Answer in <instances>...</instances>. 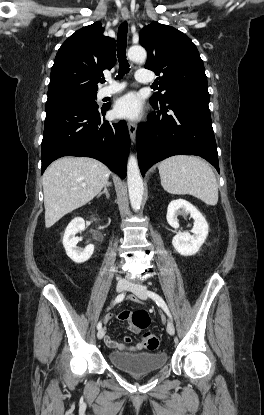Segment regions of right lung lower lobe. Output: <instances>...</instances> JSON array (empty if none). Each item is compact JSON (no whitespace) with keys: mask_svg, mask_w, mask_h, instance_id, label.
Listing matches in <instances>:
<instances>
[{"mask_svg":"<svg viewBox=\"0 0 264 415\" xmlns=\"http://www.w3.org/2000/svg\"><path fill=\"white\" fill-rule=\"evenodd\" d=\"M101 108L67 105L46 110L42 140V173L63 156L92 157L121 178L126 176L130 138L124 120L111 123Z\"/></svg>","mask_w":264,"mask_h":415,"instance_id":"right-lung-lower-lobe-1","label":"right lung lower lobe"}]
</instances>
